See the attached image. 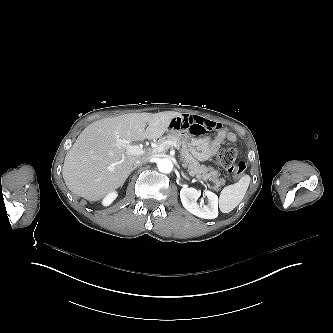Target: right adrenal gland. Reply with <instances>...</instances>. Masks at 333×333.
<instances>
[{
  "instance_id": "obj_1",
  "label": "right adrenal gland",
  "mask_w": 333,
  "mask_h": 333,
  "mask_svg": "<svg viewBox=\"0 0 333 333\" xmlns=\"http://www.w3.org/2000/svg\"><path fill=\"white\" fill-rule=\"evenodd\" d=\"M137 168V166H134L132 169H131V172L134 170V169H136Z\"/></svg>"
}]
</instances>
